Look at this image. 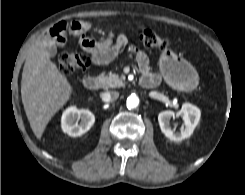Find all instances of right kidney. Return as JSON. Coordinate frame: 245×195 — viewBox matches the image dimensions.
Segmentation results:
<instances>
[{
	"label": "right kidney",
	"mask_w": 245,
	"mask_h": 195,
	"mask_svg": "<svg viewBox=\"0 0 245 195\" xmlns=\"http://www.w3.org/2000/svg\"><path fill=\"white\" fill-rule=\"evenodd\" d=\"M94 122L95 117L89 110H79L76 106H70L62 114L61 127L64 133L77 137L86 133Z\"/></svg>",
	"instance_id": "right-kidney-1"
}]
</instances>
